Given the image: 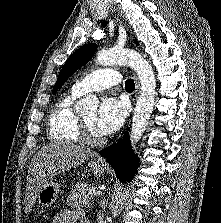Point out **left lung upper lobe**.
<instances>
[{"instance_id": "1", "label": "left lung upper lobe", "mask_w": 221, "mask_h": 223, "mask_svg": "<svg viewBox=\"0 0 221 223\" xmlns=\"http://www.w3.org/2000/svg\"><path fill=\"white\" fill-rule=\"evenodd\" d=\"M97 49V45L94 43H89L83 45L78 50H76L70 58L64 64L60 74L58 76L57 82L53 87V94L66 82V80L79 68L85 65L94 55Z\"/></svg>"}]
</instances>
